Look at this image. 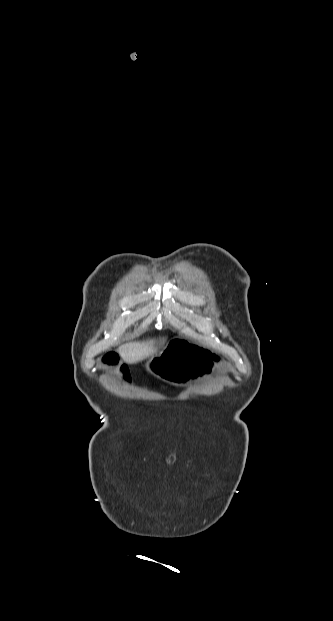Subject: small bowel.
Returning a JSON list of instances; mask_svg holds the SVG:
<instances>
[{
  "instance_id": "1",
  "label": "small bowel",
  "mask_w": 333,
  "mask_h": 621,
  "mask_svg": "<svg viewBox=\"0 0 333 621\" xmlns=\"http://www.w3.org/2000/svg\"><path fill=\"white\" fill-rule=\"evenodd\" d=\"M102 360L107 365L118 366L119 371L124 375V377L126 379H128V372L126 370V367L124 365L120 364V358H119V356H118V354L116 352H114V351L107 352L103 356Z\"/></svg>"
}]
</instances>
